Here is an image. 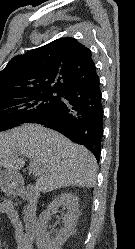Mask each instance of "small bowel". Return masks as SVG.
I'll use <instances>...</instances> for the list:
<instances>
[{
    "instance_id": "small-bowel-1",
    "label": "small bowel",
    "mask_w": 135,
    "mask_h": 249,
    "mask_svg": "<svg viewBox=\"0 0 135 249\" xmlns=\"http://www.w3.org/2000/svg\"><path fill=\"white\" fill-rule=\"evenodd\" d=\"M0 213L5 214L14 224V234L17 240L16 249H33L35 236L34 222L29 221L25 225H23L18 213L13 208L12 203L7 199L0 200Z\"/></svg>"
}]
</instances>
